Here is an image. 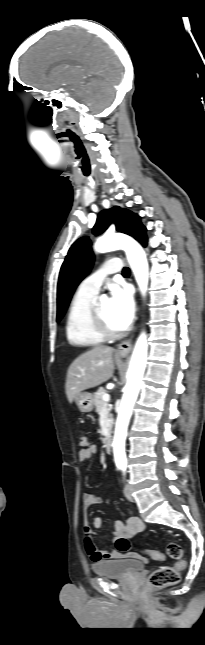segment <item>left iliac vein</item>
I'll return each instance as SVG.
<instances>
[{"label": "left iliac vein", "mask_w": 205, "mask_h": 645, "mask_svg": "<svg viewBox=\"0 0 205 645\" xmlns=\"http://www.w3.org/2000/svg\"><path fill=\"white\" fill-rule=\"evenodd\" d=\"M124 495L129 501H133L134 498L132 496L131 488L128 484L125 485L124 487Z\"/></svg>", "instance_id": "1"}]
</instances>
